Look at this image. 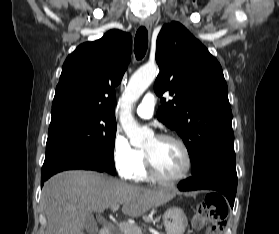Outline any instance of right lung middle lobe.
I'll use <instances>...</instances> for the list:
<instances>
[{
    "label": "right lung middle lobe",
    "mask_w": 279,
    "mask_h": 234,
    "mask_svg": "<svg viewBox=\"0 0 279 234\" xmlns=\"http://www.w3.org/2000/svg\"><path fill=\"white\" fill-rule=\"evenodd\" d=\"M115 134L114 115L78 109L52 112L45 160L67 151L80 152L115 174Z\"/></svg>",
    "instance_id": "1"
}]
</instances>
